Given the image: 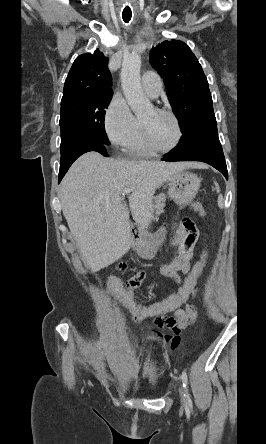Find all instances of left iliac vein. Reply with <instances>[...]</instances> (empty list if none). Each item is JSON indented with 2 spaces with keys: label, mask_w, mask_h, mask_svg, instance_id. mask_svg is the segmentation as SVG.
<instances>
[{
  "label": "left iliac vein",
  "mask_w": 266,
  "mask_h": 444,
  "mask_svg": "<svg viewBox=\"0 0 266 444\" xmlns=\"http://www.w3.org/2000/svg\"><path fill=\"white\" fill-rule=\"evenodd\" d=\"M179 395H180L181 404H182L183 406H185V403H186V401H185V395H184L183 387H182L181 385L179 386Z\"/></svg>",
  "instance_id": "1"
}]
</instances>
